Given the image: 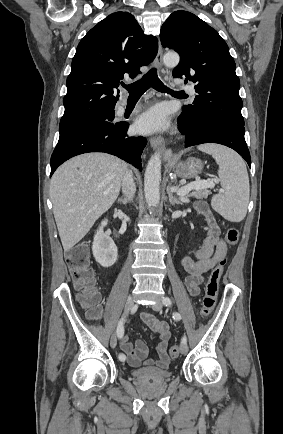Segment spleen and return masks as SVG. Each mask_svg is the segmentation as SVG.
Wrapping results in <instances>:
<instances>
[{"mask_svg": "<svg viewBox=\"0 0 283 434\" xmlns=\"http://www.w3.org/2000/svg\"><path fill=\"white\" fill-rule=\"evenodd\" d=\"M198 149L212 155L219 165L223 193L213 197L212 208L231 222L242 221L250 195L249 177L243 159L233 150L217 144L200 145Z\"/></svg>", "mask_w": 283, "mask_h": 434, "instance_id": "3e777b00", "label": "spleen"}]
</instances>
